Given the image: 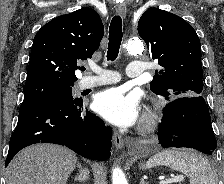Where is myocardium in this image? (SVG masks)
Wrapping results in <instances>:
<instances>
[{
	"label": "myocardium",
	"instance_id": "myocardium-1",
	"mask_svg": "<svg viewBox=\"0 0 224 184\" xmlns=\"http://www.w3.org/2000/svg\"><path fill=\"white\" fill-rule=\"evenodd\" d=\"M160 122V115L157 111L148 110L144 113L139 130L143 134H149L156 130Z\"/></svg>",
	"mask_w": 224,
	"mask_h": 184
}]
</instances>
